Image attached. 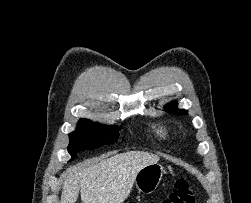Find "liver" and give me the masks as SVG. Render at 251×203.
<instances>
[{"label":"liver","instance_id":"obj_1","mask_svg":"<svg viewBox=\"0 0 251 203\" xmlns=\"http://www.w3.org/2000/svg\"><path fill=\"white\" fill-rule=\"evenodd\" d=\"M158 161L159 156L155 154L130 151L90 167H71L63 174L60 203H75L79 191L83 203H123L132 190L138 171Z\"/></svg>","mask_w":251,"mask_h":203}]
</instances>
